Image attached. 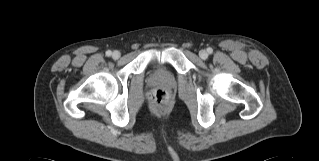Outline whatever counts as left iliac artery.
I'll list each match as a JSON object with an SVG mask.
<instances>
[{
    "instance_id": "obj_1",
    "label": "left iliac artery",
    "mask_w": 319,
    "mask_h": 161,
    "mask_svg": "<svg viewBox=\"0 0 319 161\" xmlns=\"http://www.w3.org/2000/svg\"><path fill=\"white\" fill-rule=\"evenodd\" d=\"M207 52H208L209 54H211V53L213 52V49H212V48H208V49H207Z\"/></svg>"
}]
</instances>
